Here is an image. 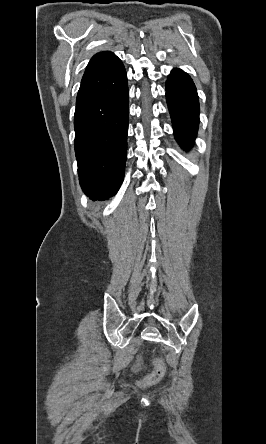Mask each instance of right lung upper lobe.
Returning <instances> with one entry per match:
<instances>
[{
    "label": "right lung upper lobe",
    "mask_w": 266,
    "mask_h": 444,
    "mask_svg": "<svg viewBox=\"0 0 266 444\" xmlns=\"http://www.w3.org/2000/svg\"><path fill=\"white\" fill-rule=\"evenodd\" d=\"M115 57L116 56L109 51H103L95 54L86 67L82 81L88 79L89 77L100 71L107 64H109L111 60H113Z\"/></svg>",
    "instance_id": "cb5924a9"
}]
</instances>
